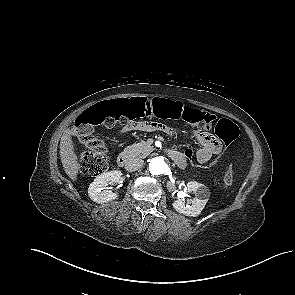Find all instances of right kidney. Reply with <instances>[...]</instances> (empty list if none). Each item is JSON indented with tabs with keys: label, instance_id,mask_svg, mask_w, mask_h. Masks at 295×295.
I'll return each mask as SVG.
<instances>
[{
	"label": "right kidney",
	"instance_id": "obj_1",
	"mask_svg": "<svg viewBox=\"0 0 295 295\" xmlns=\"http://www.w3.org/2000/svg\"><path fill=\"white\" fill-rule=\"evenodd\" d=\"M108 182L121 183L122 172L119 170H113L97 176L88 188V195L90 199L99 204L117 199V193H113L111 190H103V188L107 186Z\"/></svg>",
	"mask_w": 295,
	"mask_h": 295
}]
</instances>
